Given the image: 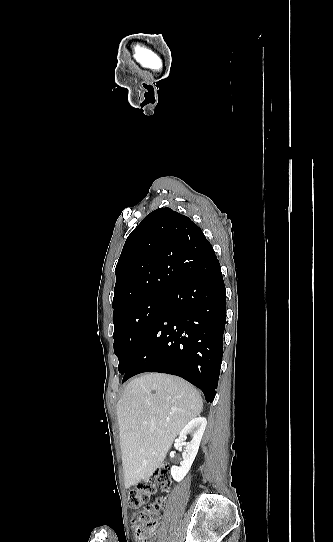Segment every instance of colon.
Here are the masks:
<instances>
[{
    "label": "colon",
    "mask_w": 333,
    "mask_h": 542,
    "mask_svg": "<svg viewBox=\"0 0 333 542\" xmlns=\"http://www.w3.org/2000/svg\"><path fill=\"white\" fill-rule=\"evenodd\" d=\"M170 469L167 463H163L156 468L154 476L140 480L136 488L129 493L128 504L132 508L130 511L133 517L132 522L135 529L130 531L132 540H142L143 537H150L156 530L155 515L148 509L149 498L157 490L165 489L169 486ZM160 504L154 505L158 509Z\"/></svg>",
    "instance_id": "1"
}]
</instances>
